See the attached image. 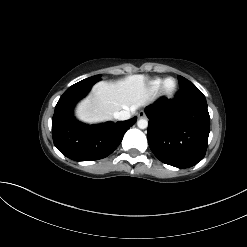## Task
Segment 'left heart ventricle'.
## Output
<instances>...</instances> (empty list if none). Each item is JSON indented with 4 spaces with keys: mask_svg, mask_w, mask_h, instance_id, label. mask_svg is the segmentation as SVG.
<instances>
[{
    "mask_svg": "<svg viewBox=\"0 0 247 247\" xmlns=\"http://www.w3.org/2000/svg\"><path fill=\"white\" fill-rule=\"evenodd\" d=\"M167 87L170 89V88H172L173 87V81H169L168 83H167Z\"/></svg>",
    "mask_w": 247,
    "mask_h": 247,
    "instance_id": "left-heart-ventricle-1",
    "label": "left heart ventricle"
}]
</instances>
